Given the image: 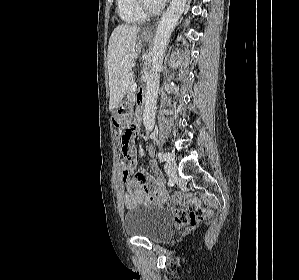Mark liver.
Wrapping results in <instances>:
<instances>
[{
  "mask_svg": "<svg viewBox=\"0 0 299 280\" xmlns=\"http://www.w3.org/2000/svg\"><path fill=\"white\" fill-rule=\"evenodd\" d=\"M140 30V27L132 25H118L109 39L110 111H113L122 101L131 79L132 60L135 54L137 35Z\"/></svg>",
  "mask_w": 299,
  "mask_h": 280,
  "instance_id": "6515ba94",
  "label": "liver"
}]
</instances>
